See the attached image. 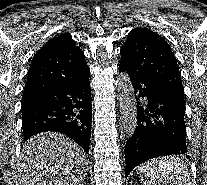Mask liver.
<instances>
[{
  "mask_svg": "<svg viewBox=\"0 0 207 185\" xmlns=\"http://www.w3.org/2000/svg\"><path fill=\"white\" fill-rule=\"evenodd\" d=\"M89 161L85 151L62 133H38L23 145L18 185H79Z\"/></svg>",
  "mask_w": 207,
  "mask_h": 185,
  "instance_id": "liver-1",
  "label": "liver"
}]
</instances>
